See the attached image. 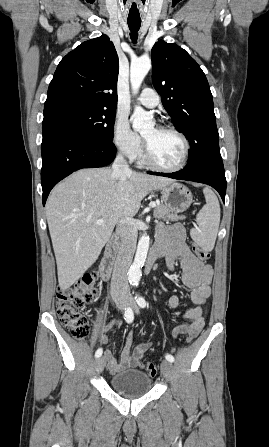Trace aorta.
Here are the masks:
<instances>
[{"mask_svg":"<svg viewBox=\"0 0 269 447\" xmlns=\"http://www.w3.org/2000/svg\"><path fill=\"white\" fill-rule=\"evenodd\" d=\"M151 60L149 56H141L137 58L131 64L130 68V84L132 86L133 94H138V90L149 70H151ZM133 128L137 132H143V130H153V116L150 112H145L141 106H135L133 116ZM149 237L148 235H141L138 241V247L135 255V259L129 267L128 279L131 283H138L140 281L141 267L146 261L148 249H149Z\"/></svg>","mask_w":269,"mask_h":447,"instance_id":"aorta-1","label":"aorta"}]
</instances>
